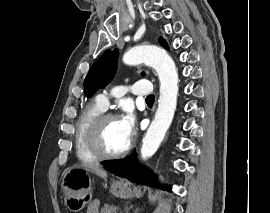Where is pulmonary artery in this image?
<instances>
[{
	"label": "pulmonary artery",
	"mask_w": 270,
	"mask_h": 213,
	"mask_svg": "<svg viewBox=\"0 0 270 213\" xmlns=\"http://www.w3.org/2000/svg\"><path fill=\"white\" fill-rule=\"evenodd\" d=\"M151 90L152 87L148 81L140 80L131 84L117 86L110 92L101 93L97 96L96 102L101 108L105 110L109 105V99L111 97L118 98L122 96L125 92H131L139 96H149L151 94Z\"/></svg>",
	"instance_id": "e3ab8cb5"
}]
</instances>
